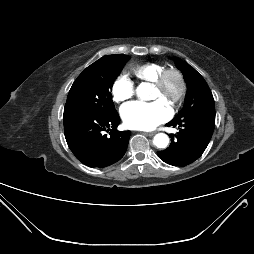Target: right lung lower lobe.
<instances>
[{"instance_id": "right-lung-lower-lobe-1", "label": "right lung lower lobe", "mask_w": 254, "mask_h": 254, "mask_svg": "<svg viewBox=\"0 0 254 254\" xmlns=\"http://www.w3.org/2000/svg\"><path fill=\"white\" fill-rule=\"evenodd\" d=\"M63 121L67 144L84 165L103 168L125 154L130 131L116 129L120 122L117 112L97 114L65 105Z\"/></svg>"}]
</instances>
